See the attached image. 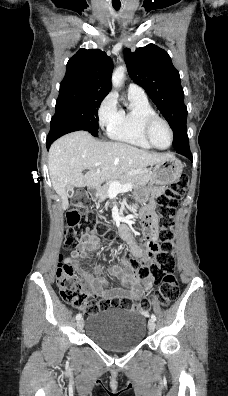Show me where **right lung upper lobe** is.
<instances>
[{"label": "right lung upper lobe", "mask_w": 228, "mask_h": 396, "mask_svg": "<svg viewBox=\"0 0 228 396\" xmlns=\"http://www.w3.org/2000/svg\"><path fill=\"white\" fill-rule=\"evenodd\" d=\"M113 62L98 49H80L69 59L60 88H80L108 94Z\"/></svg>", "instance_id": "obj_1"}]
</instances>
